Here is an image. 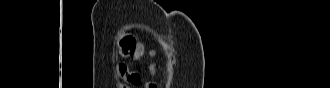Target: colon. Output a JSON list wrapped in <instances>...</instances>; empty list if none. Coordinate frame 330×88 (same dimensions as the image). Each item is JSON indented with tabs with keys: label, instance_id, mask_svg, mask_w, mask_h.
<instances>
[{
	"label": "colon",
	"instance_id": "obj_1",
	"mask_svg": "<svg viewBox=\"0 0 330 88\" xmlns=\"http://www.w3.org/2000/svg\"><path fill=\"white\" fill-rule=\"evenodd\" d=\"M135 39L131 35H125L121 39V52L124 56L131 55L135 50ZM154 72V68L151 69Z\"/></svg>",
	"mask_w": 330,
	"mask_h": 88
}]
</instances>
